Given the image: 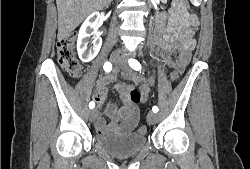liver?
<instances>
[{
  "label": "liver",
  "mask_w": 250,
  "mask_h": 169,
  "mask_svg": "<svg viewBox=\"0 0 250 169\" xmlns=\"http://www.w3.org/2000/svg\"><path fill=\"white\" fill-rule=\"evenodd\" d=\"M111 0H56L58 38H67L87 14L108 6Z\"/></svg>",
  "instance_id": "6515ba94"
}]
</instances>
